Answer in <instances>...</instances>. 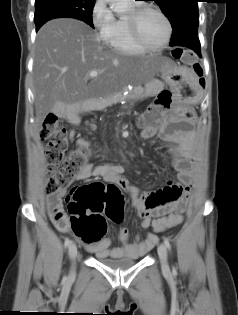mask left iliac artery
I'll return each mask as SVG.
<instances>
[{"label":"left iliac artery","instance_id":"44dca946","mask_svg":"<svg viewBox=\"0 0 238 315\" xmlns=\"http://www.w3.org/2000/svg\"><path fill=\"white\" fill-rule=\"evenodd\" d=\"M164 244L169 250L171 249L170 242H169V240L167 238H164Z\"/></svg>","mask_w":238,"mask_h":315}]
</instances>
